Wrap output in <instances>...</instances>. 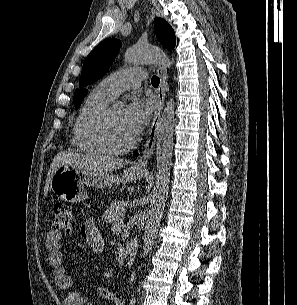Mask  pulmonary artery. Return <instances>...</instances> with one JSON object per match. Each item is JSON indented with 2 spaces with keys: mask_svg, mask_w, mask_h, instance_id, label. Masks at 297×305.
I'll use <instances>...</instances> for the list:
<instances>
[{
  "mask_svg": "<svg viewBox=\"0 0 297 305\" xmlns=\"http://www.w3.org/2000/svg\"><path fill=\"white\" fill-rule=\"evenodd\" d=\"M146 78V72L139 68H125L103 78L98 87L111 99L126 90L138 88Z\"/></svg>",
  "mask_w": 297,
  "mask_h": 305,
  "instance_id": "1",
  "label": "pulmonary artery"
}]
</instances>
